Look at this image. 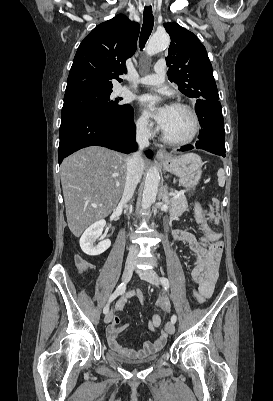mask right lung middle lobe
<instances>
[{"label":"right lung middle lobe","mask_w":273,"mask_h":401,"mask_svg":"<svg viewBox=\"0 0 273 401\" xmlns=\"http://www.w3.org/2000/svg\"><path fill=\"white\" fill-rule=\"evenodd\" d=\"M112 90H94L64 96L61 118L90 113L127 119L131 110L129 104L119 103L122 98H112Z\"/></svg>","instance_id":"right-lung-middle-lobe-1"}]
</instances>
